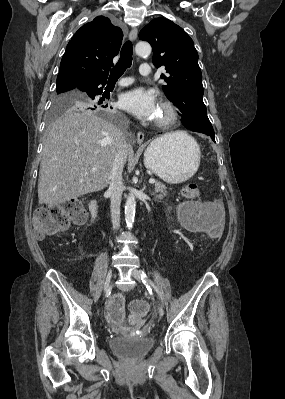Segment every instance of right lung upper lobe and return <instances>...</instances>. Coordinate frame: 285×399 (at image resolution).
Instances as JSON below:
<instances>
[{
    "label": "right lung upper lobe",
    "instance_id": "obj_1",
    "mask_svg": "<svg viewBox=\"0 0 285 399\" xmlns=\"http://www.w3.org/2000/svg\"><path fill=\"white\" fill-rule=\"evenodd\" d=\"M122 39L121 29L104 16L82 26L67 45L56 88L77 89L87 79L107 78Z\"/></svg>",
    "mask_w": 285,
    "mask_h": 399
}]
</instances>
